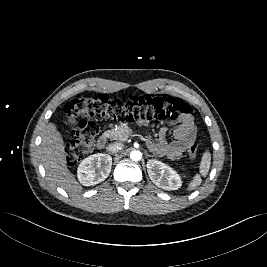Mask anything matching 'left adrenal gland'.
<instances>
[{
    "label": "left adrenal gland",
    "mask_w": 267,
    "mask_h": 267,
    "mask_svg": "<svg viewBox=\"0 0 267 267\" xmlns=\"http://www.w3.org/2000/svg\"><path fill=\"white\" fill-rule=\"evenodd\" d=\"M147 157H152V155L147 154Z\"/></svg>",
    "instance_id": "1"
}]
</instances>
